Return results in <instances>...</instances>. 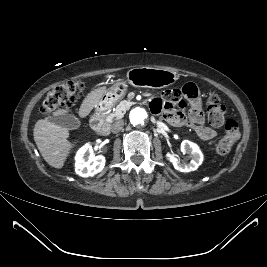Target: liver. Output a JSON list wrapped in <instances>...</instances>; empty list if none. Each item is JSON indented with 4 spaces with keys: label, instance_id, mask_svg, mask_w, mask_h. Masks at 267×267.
Masks as SVG:
<instances>
[{
    "label": "liver",
    "instance_id": "liver-1",
    "mask_svg": "<svg viewBox=\"0 0 267 267\" xmlns=\"http://www.w3.org/2000/svg\"><path fill=\"white\" fill-rule=\"evenodd\" d=\"M106 87H99L85 97L79 114L87 116L98 103L105 92ZM67 109H58L53 116L64 115ZM34 140L44 160L54 168H62L73 148V144L68 141L69 130L65 127L56 125L47 119L38 120L34 127Z\"/></svg>",
    "mask_w": 267,
    "mask_h": 267
}]
</instances>
